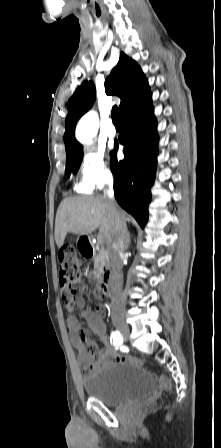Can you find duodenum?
Here are the masks:
<instances>
[{"instance_id": "410a0bca", "label": "duodenum", "mask_w": 221, "mask_h": 448, "mask_svg": "<svg viewBox=\"0 0 221 448\" xmlns=\"http://www.w3.org/2000/svg\"><path fill=\"white\" fill-rule=\"evenodd\" d=\"M79 251L81 255L87 259H91L97 255L96 247L93 240L89 236H83L79 242ZM100 291L103 296L108 297L113 291V276L111 269L103 266L102 277L99 282Z\"/></svg>"}]
</instances>
